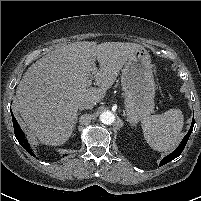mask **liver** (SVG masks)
I'll use <instances>...</instances> for the list:
<instances>
[{
    "mask_svg": "<svg viewBox=\"0 0 201 201\" xmlns=\"http://www.w3.org/2000/svg\"><path fill=\"white\" fill-rule=\"evenodd\" d=\"M136 43L74 42L46 54L32 64L16 90V107L27 126L43 144H64L71 136L78 103H99L135 51ZM98 61L95 84L87 86L92 64Z\"/></svg>",
    "mask_w": 201,
    "mask_h": 201,
    "instance_id": "obj_1",
    "label": "liver"
}]
</instances>
